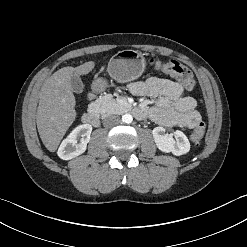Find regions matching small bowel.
I'll use <instances>...</instances> for the list:
<instances>
[{
  "mask_svg": "<svg viewBox=\"0 0 247 247\" xmlns=\"http://www.w3.org/2000/svg\"><path fill=\"white\" fill-rule=\"evenodd\" d=\"M129 90L137 96L155 98L151 108L143 109L145 115L160 125L192 129L201 123V116L195 109L196 100L187 95L177 82L150 77L145 81L130 83Z\"/></svg>",
  "mask_w": 247,
  "mask_h": 247,
  "instance_id": "obj_1",
  "label": "small bowel"
}]
</instances>
